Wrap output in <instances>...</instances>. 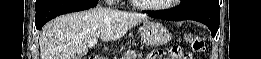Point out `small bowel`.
Here are the masks:
<instances>
[{"mask_svg": "<svg viewBox=\"0 0 261 59\" xmlns=\"http://www.w3.org/2000/svg\"><path fill=\"white\" fill-rule=\"evenodd\" d=\"M159 53H163V51H161V50H157V51H155L152 55H151V59H157V58H163V56H161V55H159ZM187 56H191V55H187ZM193 58V57H192ZM192 58H190V59H192ZM172 59H175V58H172ZM187 59H189V58H187Z\"/></svg>", "mask_w": 261, "mask_h": 59, "instance_id": "obj_1", "label": "small bowel"}]
</instances>
